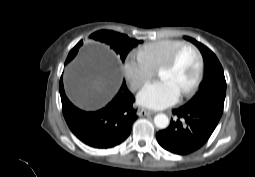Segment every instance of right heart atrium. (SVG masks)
Masks as SVG:
<instances>
[{"mask_svg":"<svg viewBox=\"0 0 255 177\" xmlns=\"http://www.w3.org/2000/svg\"><path fill=\"white\" fill-rule=\"evenodd\" d=\"M124 73L133 89H138L153 77L155 68L140 53H129L124 62Z\"/></svg>","mask_w":255,"mask_h":177,"instance_id":"1","label":"right heart atrium"}]
</instances>
